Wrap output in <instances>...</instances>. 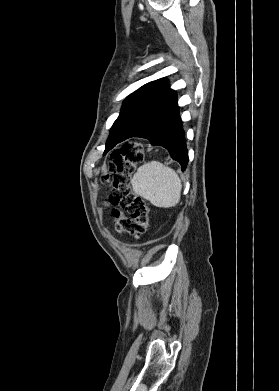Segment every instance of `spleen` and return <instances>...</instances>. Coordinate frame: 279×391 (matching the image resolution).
<instances>
[{
    "mask_svg": "<svg viewBox=\"0 0 279 391\" xmlns=\"http://www.w3.org/2000/svg\"><path fill=\"white\" fill-rule=\"evenodd\" d=\"M131 183L137 195L156 207H173L180 200L182 184L178 174L158 161L140 166Z\"/></svg>",
    "mask_w": 279,
    "mask_h": 391,
    "instance_id": "3e777b00",
    "label": "spleen"
}]
</instances>
